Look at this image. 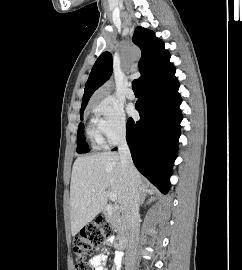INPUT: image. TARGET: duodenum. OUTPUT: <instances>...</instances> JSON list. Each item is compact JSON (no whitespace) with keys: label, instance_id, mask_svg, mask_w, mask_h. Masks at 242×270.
Returning a JSON list of instances; mask_svg holds the SVG:
<instances>
[{"label":"duodenum","instance_id":"410a0bca","mask_svg":"<svg viewBox=\"0 0 242 270\" xmlns=\"http://www.w3.org/2000/svg\"><path fill=\"white\" fill-rule=\"evenodd\" d=\"M113 212V208L112 207H107L106 209H104L101 213L100 216L101 217H107L109 215H111ZM118 248L120 249H125L126 245H127V237L125 236H121L117 242H116Z\"/></svg>","mask_w":242,"mask_h":270}]
</instances>
